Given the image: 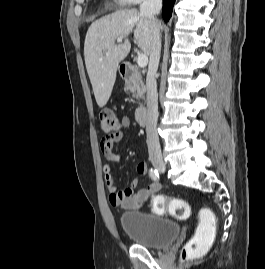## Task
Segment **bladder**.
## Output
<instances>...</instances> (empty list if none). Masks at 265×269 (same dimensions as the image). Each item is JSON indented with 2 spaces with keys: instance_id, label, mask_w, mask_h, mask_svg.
Segmentation results:
<instances>
[{
  "instance_id": "bladder-1",
  "label": "bladder",
  "mask_w": 265,
  "mask_h": 269,
  "mask_svg": "<svg viewBox=\"0 0 265 269\" xmlns=\"http://www.w3.org/2000/svg\"><path fill=\"white\" fill-rule=\"evenodd\" d=\"M119 223L123 232L136 244L150 249L168 247L179 234L175 222L138 210L122 213Z\"/></svg>"
}]
</instances>
